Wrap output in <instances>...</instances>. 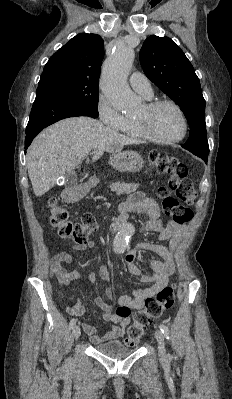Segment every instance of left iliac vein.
<instances>
[{
	"label": "left iliac vein",
	"instance_id": "1",
	"mask_svg": "<svg viewBox=\"0 0 232 399\" xmlns=\"http://www.w3.org/2000/svg\"><path fill=\"white\" fill-rule=\"evenodd\" d=\"M155 340H158L159 356H166L165 337H163V332H155Z\"/></svg>",
	"mask_w": 232,
	"mask_h": 399
}]
</instances>
